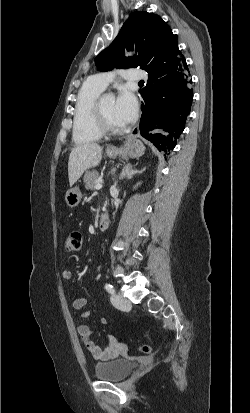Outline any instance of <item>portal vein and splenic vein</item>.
<instances>
[{
	"label": "portal vein and splenic vein",
	"mask_w": 250,
	"mask_h": 413,
	"mask_svg": "<svg viewBox=\"0 0 250 413\" xmlns=\"http://www.w3.org/2000/svg\"><path fill=\"white\" fill-rule=\"evenodd\" d=\"M101 188H102V184H101V183H98V184L95 185V189H96V190H100Z\"/></svg>",
	"instance_id": "18ae733b"
}]
</instances>
